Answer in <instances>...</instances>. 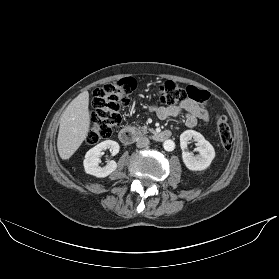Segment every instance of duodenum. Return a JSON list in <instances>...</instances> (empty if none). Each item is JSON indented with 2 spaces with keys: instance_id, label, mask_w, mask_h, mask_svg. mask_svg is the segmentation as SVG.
<instances>
[{
  "instance_id": "1",
  "label": "duodenum",
  "mask_w": 279,
  "mask_h": 279,
  "mask_svg": "<svg viewBox=\"0 0 279 279\" xmlns=\"http://www.w3.org/2000/svg\"><path fill=\"white\" fill-rule=\"evenodd\" d=\"M172 133L169 130L153 132L149 136L157 142H163L170 139ZM142 136V133L135 128H124L119 132V139L125 144H131L139 137Z\"/></svg>"
}]
</instances>
